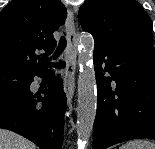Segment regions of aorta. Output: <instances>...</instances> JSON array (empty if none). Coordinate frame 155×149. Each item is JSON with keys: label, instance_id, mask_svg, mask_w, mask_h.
Segmentation results:
<instances>
[{"label": "aorta", "instance_id": "762f6f07", "mask_svg": "<svg viewBox=\"0 0 155 149\" xmlns=\"http://www.w3.org/2000/svg\"><path fill=\"white\" fill-rule=\"evenodd\" d=\"M78 107H77V136L79 147L88 144L96 116L97 90L95 71L92 62L94 39L92 35L83 33L78 40ZM80 149V148H79Z\"/></svg>", "mask_w": 155, "mask_h": 149}]
</instances>
